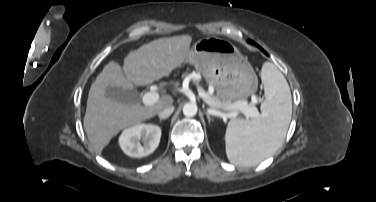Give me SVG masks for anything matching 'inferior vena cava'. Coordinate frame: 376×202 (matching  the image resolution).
Here are the masks:
<instances>
[{
	"instance_id": "1",
	"label": "inferior vena cava",
	"mask_w": 376,
	"mask_h": 202,
	"mask_svg": "<svg viewBox=\"0 0 376 202\" xmlns=\"http://www.w3.org/2000/svg\"><path fill=\"white\" fill-rule=\"evenodd\" d=\"M174 111V107L173 106H169L165 109H163L162 111H160L158 113V116L160 119H166L168 118Z\"/></svg>"
}]
</instances>
